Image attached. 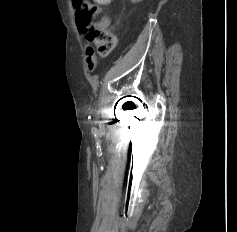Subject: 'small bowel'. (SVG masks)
<instances>
[{"instance_id": "c3829d8e", "label": "small bowel", "mask_w": 237, "mask_h": 232, "mask_svg": "<svg viewBox=\"0 0 237 232\" xmlns=\"http://www.w3.org/2000/svg\"><path fill=\"white\" fill-rule=\"evenodd\" d=\"M100 8H96V12H100ZM103 26L106 28L110 25V20L108 18H104L103 21ZM85 60H86V66L89 71H92L96 64H97V58L94 53V49L91 46H87L85 49Z\"/></svg>"}]
</instances>
